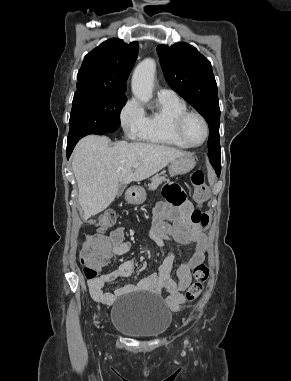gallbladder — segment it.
Masks as SVG:
<instances>
[{
	"instance_id": "1",
	"label": "gallbladder",
	"mask_w": 291,
	"mask_h": 381,
	"mask_svg": "<svg viewBox=\"0 0 291 381\" xmlns=\"http://www.w3.org/2000/svg\"><path fill=\"white\" fill-rule=\"evenodd\" d=\"M125 187H126L125 184H122V183L119 184L118 191H117V196L118 197L122 195V193L124 192Z\"/></svg>"
}]
</instances>
